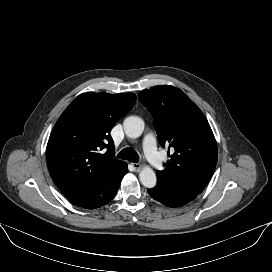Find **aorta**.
Wrapping results in <instances>:
<instances>
[{
    "mask_svg": "<svg viewBox=\"0 0 272 272\" xmlns=\"http://www.w3.org/2000/svg\"><path fill=\"white\" fill-rule=\"evenodd\" d=\"M125 134L130 138H138L144 130V122L140 117L130 116L123 123ZM142 185L146 188L156 186L157 178L155 172L148 166H145L139 173Z\"/></svg>",
    "mask_w": 272,
    "mask_h": 272,
    "instance_id": "762f6f07",
    "label": "aorta"
}]
</instances>
